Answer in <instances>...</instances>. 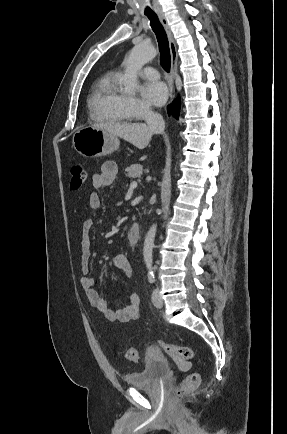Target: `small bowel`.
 I'll list each match as a JSON object with an SVG mask.
<instances>
[{
    "instance_id": "obj_1",
    "label": "small bowel",
    "mask_w": 287,
    "mask_h": 434,
    "mask_svg": "<svg viewBox=\"0 0 287 434\" xmlns=\"http://www.w3.org/2000/svg\"><path fill=\"white\" fill-rule=\"evenodd\" d=\"M117 175V166L113 161H105L100 167L98 173H94L91 177V184L94 188L100 189L111 185ZM88 207L92 210H97L101 207L100 196L93 192L88 195ZM95 223L92 219L84 221L81 230L79 241L80 246V264L82 277L80 285L84 290L91 307L104 314L107 320L112 322H130L138 318L140 308V298L138 294H131L128 298V303L125 307L115 310L110 308L106 299L101 297L94 289L96 279L89 274V261L91 257V231L94 229ZM112 266L122 273L124 277H129L132 272V267L129 260L128 251L124 250L117 254L112 260ZM189 363L183 364L185 369L190 368Z\"/></svg>"
}]
</instances>
